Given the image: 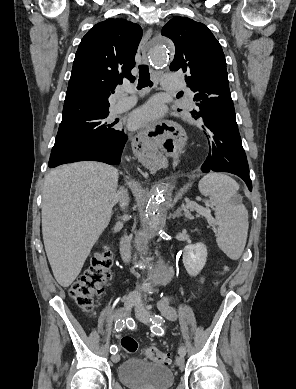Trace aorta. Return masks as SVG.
Masks as SVG:
<instances>
[{
  "label": "aorta",
  "mask_w": 296,
  "mask_h": 389,
  "mask_svg": "<svg viewBox=\"0 0 296 389\" xmlns=\"http://www.w3.org/2000/svg\"><path fill=\"white\" fill-rule=\"evenodd\" d=\"M171 43L166 38L153 41L149 56L151 66H172L174 52ZM172 203V193L165 186H158L149 199L143 220V228L136 235L135 241L139 251L146 252L150 240L162 231L165 226L167 210ZM171 269L161 262L150 264L149 278L158 285H165L171 276Z\"/></svg>",
  "instance_id": "762f6f07"
}]
</instances>
